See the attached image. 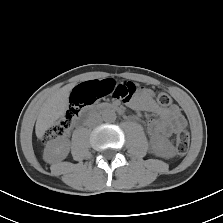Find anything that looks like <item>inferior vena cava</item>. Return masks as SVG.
Returning <instances> with one entry per match:
<instances>
[{
  "instance_id": "obj_1",
  "label": "inferior vena cava",
  "mask_w": 223,
  "mask_h": 223,
  "mask_svg": "<svg viewBox=\"0 0 223 223\" xmlns=\"http://www.w3.org/2000/svg\"><path fill=\"white\" fill-rule=\"evenodd\" d=\"M101 117L99 115H92L89 119H88V126H94L98 123L101 122Z\"/></svg>"
}]
</instances>
